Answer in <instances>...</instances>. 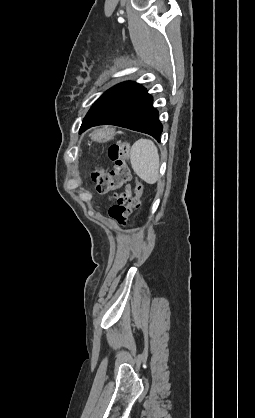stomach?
<instances>
[{
  "label": "stomach",
  "instance_id": "0dacf381",
  "mask_svg": "<svg viewBox=\"0 0 255 418\" xmlns=\"http://www.w3.org/2000/svg\"><path fill=\"white\" fill-rule=\"evenodd\" d=\"M114 135V132L112 129L104 128L99 129L91 134V138L95 141H108L110 140Z\"/></svg>",
  "mask_w": 255,
  "mask_h": 418
}]
</instances>
